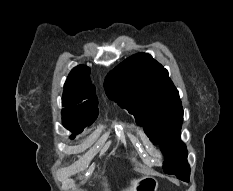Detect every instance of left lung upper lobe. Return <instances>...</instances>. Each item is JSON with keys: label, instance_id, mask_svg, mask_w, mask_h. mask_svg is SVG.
<instances>
[{"label": "left lung upper lobe", "instance_id": "left-lung-upper-lobe-1", "mask_svg": "<svg viewBox=\"0 0 233 191\" xmlns=\"http://www.w3.org/2000/svg\"><path fill=\"white\" fill-rule=\"evenodd\" d=\"M109 99L118 103L166 155L167 174L190 175L186 146L180 139L183 109L168 71L146 53L124 60L105 78Z\"/></svg>", "mask_w": 233, "mask_h": 191}]
</instances>
